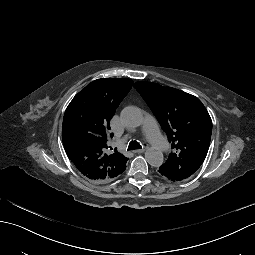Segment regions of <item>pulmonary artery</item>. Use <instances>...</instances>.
Returning a JSON list of instances; mask_svg holds the SVG:
<instances>
[{"mask_svg": "<svg viewBox=\"0 0 255 255\" xmlns=\"http://www.w3.org/2000/svg\"><path fill=\"white\" fill-rule=\"evenodd\" d=\"M149 117H152V114H149ZM141 128L145 130L150 143L155 145V149L157 151L167 150L169 148V143L162 137V134L157 128V122L155 119L147 118L145 123L141 125Z\"/></svg>", "mask_w": 255, "mask_h": 255, "instance_id": "1", "label": "pulmonary artery"}]
</instances>
